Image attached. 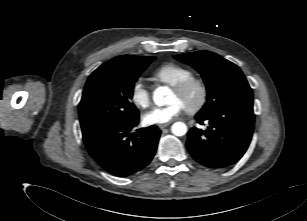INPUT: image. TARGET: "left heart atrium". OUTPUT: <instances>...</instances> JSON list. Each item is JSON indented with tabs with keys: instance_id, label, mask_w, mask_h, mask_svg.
I'll list each match as a JSON object with an SVG mask.
<instances>
[{
	"instance_id": "left-heart-atrium-1",
	"label": "left heart atrium",
	"mask_w": 307,
	"mask_h": 221,
	"mask_svg": "<svg viewBox=\"0 0 307 221\" xmlns=\"http://www.w3.org/2000/svg\"><path fill=\"white\" fill-rule=\"evenodd\" d=\"M184 110V106L178 102L173 101L163 107H156L148 111L143 116V121L147 125H161L166 124L178 117Z\"/></svg>"
}]
</instances>
